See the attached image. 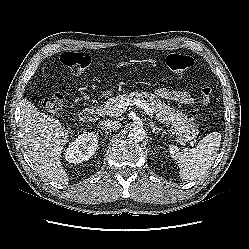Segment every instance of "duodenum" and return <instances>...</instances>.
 Listing matches in <instances>:
<instances>
[{
  "label": "duodenum",
  "mask_w": 249,
  "mask_h": 249,
  "mask_svg": "<svg viewBox=\"0 0 249 249\" xmlns=\"http://www.w3.org/2000/svg\"><path fill=\"white\" fill-rule=\"evenodd\" d=\"M99 106L98 104H93L81 111V119L85 122H92L99 117Z\"/></svg>",
  "instance_id": "1"
}]
</instances>
